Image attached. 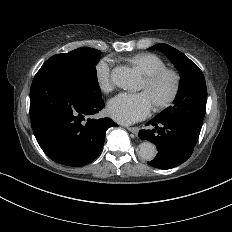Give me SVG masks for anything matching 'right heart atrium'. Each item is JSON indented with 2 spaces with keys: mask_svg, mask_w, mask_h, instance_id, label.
<instances>
[{
  "mask_svg": "<svg viewBox=\"0 0 232 232\" xmlns=\"http://www.w3.org/2000/svg\"><path fill=\"white\" fill-rule=\"evenodd\" d=\"M112 60L109 57L102 58L96 65V80L99 87L108 91L111 89L110 72H111Z\"/></svg>",
  "mask_w": 232,
  "mask_h": 232,
  "instance_id": "d8ad5b80",
  "label": "right heart atrium"
}]
</instances>
